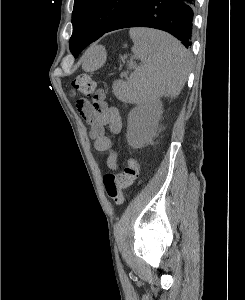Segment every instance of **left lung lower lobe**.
<instances>
[{"mask_svg":"<svg viewBox=\"0 0 245 300\" xmlns=\"http://www.w3.org/2000/svg\"><path fill=\"white\" fill-rule=\"evenodd\" d=\"M194 5L195 0H135L105 33L129 27H150L172 34L188 48L192 45ZM101 36L92 37L81 44L75 55Z\"/></svg>","mask_w":245,"mask_h":300,"instance_id":"1","label":"left lung lower lobe"}]
</instances>
